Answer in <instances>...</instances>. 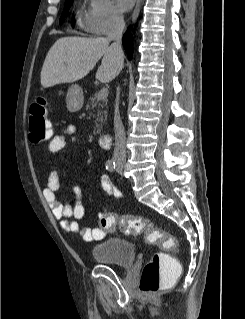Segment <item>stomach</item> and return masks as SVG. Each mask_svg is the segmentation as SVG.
I'll use <instances>...</instances> for the list:
<instances>
[{
  "instance_id": "stomach-1",
  "label": "stomach",
  "mask_w": 245,
  "mask_h": 319,
  "mask_svg": "<svg viewBox=\"0 0 245 319\" xmlns=\"http://www.w3.org/2000/svg\"><path fill=\"white\" fill-rule=\"evenodd\" d=\"M83 101L84 97L81 88L76 84L70 86L66 98L68 111L72 113L79 111L83 106Z\"/></svg>"
}]
</instances>
